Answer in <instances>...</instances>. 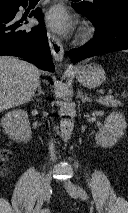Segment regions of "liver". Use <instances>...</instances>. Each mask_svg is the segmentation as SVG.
I'll use <instances>...</instances> for the list:
<instances>
[{
    "label": "liver",
    "instance_id": "obj_1",
    "mask_svg": "<svg viewBox=\"0 0 128 213\" xmlns=\"http://www.w3.org/2000/svg\"><path fill=\"white\" fill-rule=\"evenodd\" d=\"M41 71L20 59L0 56V112L31 100Z\"/></svg>",
    "mask_w": 128,
    "mask_h": 213
}]
</instances>
